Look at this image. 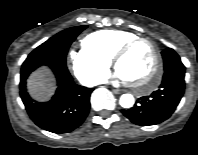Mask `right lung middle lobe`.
Returning <instances> with one entry per match:
<instances>
[{"instance_id":"1","label":"right lung middle lobe","mask_w":198,"mask_h":155,"mask_svg":"<svg viewBox=\"0 0 198 155\" xmlns=\"http://www.w3.org/2000/svg\"><path fill=\"white\" fill-rule=\"evenodd\" d=\"M86 27L78 26L61 31L34 49L24 63H30L34 60H55L66 63L69 46Z\"/></svg>"}]
</instances>
